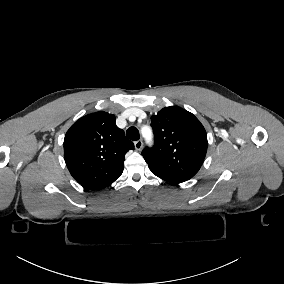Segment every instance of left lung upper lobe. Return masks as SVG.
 Wrapping results in <instances>:
<instances>
[{
	"label": "left lung upper lobe",
	"instance_id": "obj_1",
	"mask_svg": "<svg viewBox=\"0 0 284 284\" xmlns=\"http://www.w3.org/2000/svg\"><path fill=\"white\" fill-rule=\"evenodd\" d=\"M155 143L142 155L155 175L191 179L207 152V134L200 121L179 107H165L151 117Z\"/></svg>",
	"mask_w": 284,
	"mask_h": 284
}]
</instances>
